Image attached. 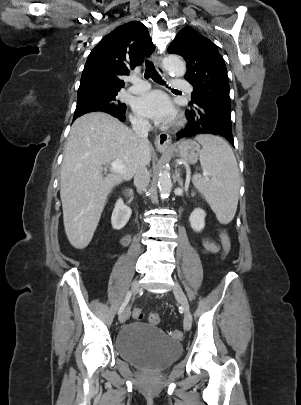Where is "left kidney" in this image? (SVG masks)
Segmentation results:
<instances>
[{"mask_svg":"<svg viewBox=\"0 0 301 405\" xmlns=\"http://www.w3.org/2000/svg\"><path fill=\"white\" fill-rule=\"evenodd\" d=\"M205 217H206L205 211L200 208L194 209V211L190 214L189 217L190 225L195 232H200L204 229Z\"/></svg>","mask_w":301,"mask_h":405,"instance_id":"1","label":"left kidney"}]
</instances>
